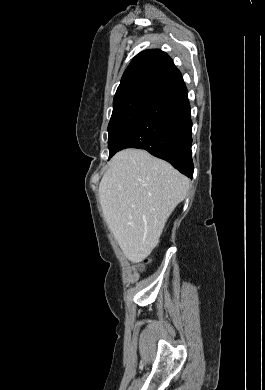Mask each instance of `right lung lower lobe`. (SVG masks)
<instances>
[{
    "mask_svg": "<svg viewBox=\"0 0 265 390\" xmlns=\"http://www.w3.org/2000/svg\"><path fill=\"white\" fill-rule=\"evenodd\" d=\"M191 129L190 104L182 81L133 120L119 138L115 153L125 148L145 149L192 178Z\"/></svg>",
    "mask_w": 265,
    "mask_h": 390,
    "instance_id": "1",
    "label": "right lung lower lobe"
}]
</instances>
